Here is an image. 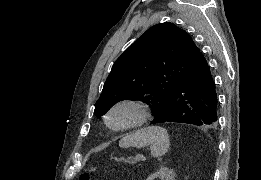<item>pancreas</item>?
Returning a JSON list of instances; mask_svg holds the SVG:
<instances>
[{"label": "pancreas", "instance_id": "obj_1", "mask_svg": "<svg viewBox=\"0 0 261 180\" xmlns=\"http://www.w3.org/2000/svg\"><path fill=\"white\" fill-rule=\"evenodd\" d=\"M136 163H139V162H134V159L127 158L126 162L123 163V166H125V167H130L131 164H136Z\"/></svg>", "mask_w": 261, "mask_h": 180}]
</instances>
